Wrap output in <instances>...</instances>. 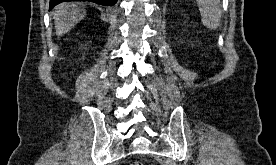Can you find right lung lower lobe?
<instances>
[{"label":"right lung lower lobe","mask_w":276,"mask_h":165,"mask_svg":"<svg viewBox=\"0 0 276 165\" xmlns=\"http://www.w3.org/2000/svg\"><path fill=\"white\" fill-rule=\"evenodd\" d=\"M65 1H91L104 6L114 5L117 2V0H50V10L55 5Z\"/></svg>","instance_id":"obj_1"}]
</instances>
